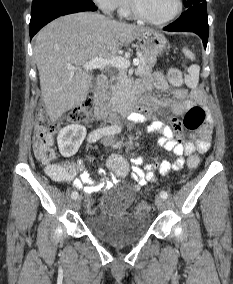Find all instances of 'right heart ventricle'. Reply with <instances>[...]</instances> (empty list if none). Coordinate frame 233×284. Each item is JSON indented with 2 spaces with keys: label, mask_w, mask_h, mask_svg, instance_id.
<instances>
[{
  "label": "right heart ventricle",
  "mask_w": 233,
  "mask_h": 284,
  "mask_svg": "<svg viewBox=\"0 0 233 284\" xmlns=\"http://www.w3.org/2000/svg\"><path fill=\"white\" fill-rule=\"evenodd\" d=\"M119 9L122 16L129 17L131 15L128 0H124Z\"/></svg>",
  "instance_id": "obj_1"
}]
</instances>
